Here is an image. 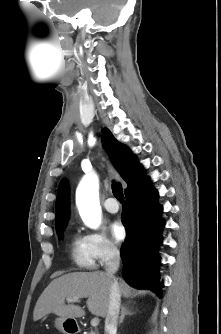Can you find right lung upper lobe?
<instances>
[{"mask_svg": "<svg viewBox=\"0 0 221 334\" xmlns=\"http://www.w3.org/2000/svg\"><path fill=\"white\" fill-rule=\"evenodd\" d=\"M102 141L110 154L122 178L128 184L125 192L141 184L145 179V173L136 160L134 154L124 145L120 144L107 129L102 130ZM69 218V190L63 181L58 188L56 199V230L66 227Z\"/></svg>", "mask_w": 221, "mask_h": 334, "instance_id": "1", "label": "right lung upper lobe"}]
</instances>
